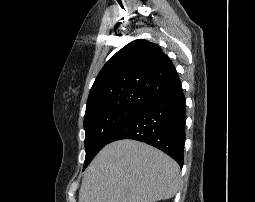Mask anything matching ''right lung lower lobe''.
Segmentation results:
<instances>
[{
	"mask_svg": "<svg viewBox=\"0 0 255 202\" xmlns=\"http://www.w3.org/2000/svg\"><path fill=\"white\" fill-rule=\"evenodd\" d=\"M185 96L180 88L143 105L110 138L134 139L162 150L183 166L185 143Z\"/></svg>",
	"mask_w": 255,
	"mask_h": 202,
	"instance_id": "1",
	"label": "right lung lower lobe"
}]
</instances>
